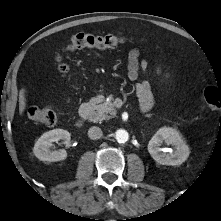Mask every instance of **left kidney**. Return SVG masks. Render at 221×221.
I'll return each mask as SVG.
<instances>
[{"label": "left kidney", "mask_w": 221, "mask_h": 221, "mask_svg": "<svg viewBox=\"0 0 221 221\" xmlns=\"http://www.w3.org/2000/svg\"><path fill=\"white\" fill-rule=\"evenodd\" d=\"M165 143L173 149L166 150L160 146ZM148 152L151 157L162 165H181L189 156V147L179 132L171 127L160 128L148 143Z\"/></svg>", "instance_id": "5707ae66"}]
</instances>
